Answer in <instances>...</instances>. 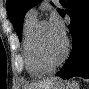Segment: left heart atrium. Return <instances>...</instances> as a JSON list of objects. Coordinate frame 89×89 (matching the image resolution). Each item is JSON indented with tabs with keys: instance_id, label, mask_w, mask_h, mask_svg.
I'll return each instance as SVG.
<instances>
[{
	"instance_id": "1",
	"label": "left heart atrium",
	"mask_w": 89,
	"mask_h": 89,
	"mask_svg": "<svg viewBox=\"0 0 89 89\" xmlns=\"http://www.w3.org/2000/svg\"><path fill=\"white\" fill-rule=\"evenodd\" d=\"M49 24L53 31L60 37L63 38L65 37V29L63 26V23L61 19L59 18L58 15L53 14L50 18Z\"/></svg>"
}]
</instances>
